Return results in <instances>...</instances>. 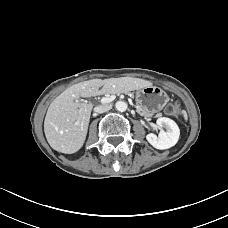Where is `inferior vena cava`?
Masks as SVG:
<instances>
[{"label":"inferior vena cava","mask_w":228,"mask_h":228,"mask_svg":"<svg viewBox=\"0 0 228 228\" xmlns=\"http://www.w3.org/2000/svg\"><path fill=\"white\" fill-rule=\"evenodd\" d=\"M111 109V105L109 104H104V105H98L94 108V111L97 113H103L106 111H109Z\"/></svg>","instance_id":"1"}]
</instances>
